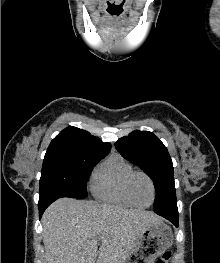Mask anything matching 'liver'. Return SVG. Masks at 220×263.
Masks as SVG:
<instances>
[{
  "mask_svg": "<svg viewBox=\"0 0 220 263\" xmlns=\"http://www.w3.org/2000/svg\"><path fill=\"white\" fill-rule=\"evenodd\" d=\"M161 221L150 211L60 198L42 216L45 263H122L139 236Z\"/></svg>",
  "mask_w": 220,
  "mask_h": 263,
  "instance_id": "liver-1",
  "label": "liver"
}]
</instances>
